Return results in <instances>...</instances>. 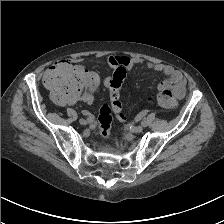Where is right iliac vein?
<instances>
[{
  "mask_svg": "<svg viewBox=\"0 0 224 224\" xmlns=\"http://www.w3.org/2000/svg\"><path fill=\"white\" fill-rule=\"evenodd\" d=\"M79 123H80L81 125H86L88 122H87L85 119H80V120H79Z\"/></svg>",
  "mask_w": 224,
  "mask_h": 224,
  "instance_id": "right-iliac-vein-1",
  "label": "right iliac vein"
}]
</instances>
